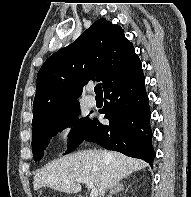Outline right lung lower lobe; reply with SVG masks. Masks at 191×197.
<instances>
[{
    "label": "right lung lower lobe",
    "instance_id": "obj_1",
    "mask_svg": "<svg viewBox=\"0 0 191 197\" xmlns=\"http://www.w3.org/2000/svg\"><path fill=\"white\" fill-rule=\"evenodd\" d=\"M108 101L100 113L109 125L94 119L84 140L108 150L139 158L150 165L155 157L150 129V108L141 65L104 88Z\"/></svg>",
    "mask_w": 191,
    "mask_h": 197
}]
</instances>
